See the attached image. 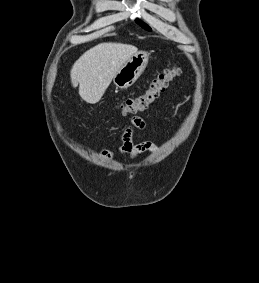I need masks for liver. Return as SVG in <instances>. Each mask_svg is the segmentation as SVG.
Wrapping results in <instances>:
<instances>
[{
	"instance_id": "6515ba94",
	"label": "liver",
	"mask_w": 259,
	"mask_h": 283,
	"mask_svg": "<svg viewBox=\"0 0 259 283\" xmlns=\"http://www.w3.org/2000/svg\"><path fill=\"white\" fill-rule=\"evenodd\" d=\"M135 46L101 43L86 51L72 66V85L79 84L80 97L90 104L98 103L120 67L137 53Z\"/></svg>"
}]
</instances>
